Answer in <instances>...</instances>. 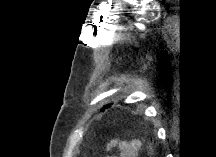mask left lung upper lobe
<instances>
[{"instance_id": "1", "label": "left lung upper lobe", "mask_w": 216, "mask_h": 157, "mask_svg": "<svg viewBox=\"0 0 216 157\" xmlns=\"http://www.w3.org/2000/svg\"><path fill=\"white\" fill-rule=\"evenodd\" d=\"M110 107V104L106 105L102 110H104L105 108H108Z\"/></svg>"}]
</instances>
